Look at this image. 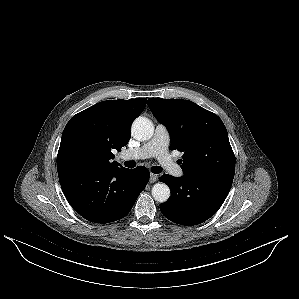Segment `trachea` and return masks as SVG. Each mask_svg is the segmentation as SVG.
Wrapping results in <instances>:
<instances>
[{
    "label": "trachea",
    "mask_w": 299,
    "mask_h": 299,
    "mask_svg": "<svg viewBox=\"0 0 299 299\" xmlns=\"http://www.w3.org/2000/svg\"><path fill=\"white\" fill-rule=\"evenodd\" d=\"M124 165L126 167L133 168L136 166V163H135V161H125ZM151 171L154 174H159V173H161L162 168L160 166H153V167H151Z\"/></svg>",
    "instance_id": "3493384b"
}]
</instances>
